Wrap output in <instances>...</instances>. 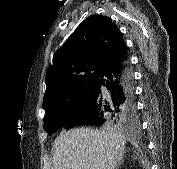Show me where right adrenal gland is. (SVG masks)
Returning a JSON list of instances; mask_svg holds the SVG:
<instances>
[{
  "mask_svg": "<svg viewBox=\"0 0 177 169\" xmlns=\"http://www.w3.org/2000/svg\"><path fill=\"white\" fill-rule=\"evenodd\" d=\"M123 154H124V152L121 154L122 159H123ZM122 162H123V161L120 160V161L117 163V165H116V169H118V168L121 166Z\"/></svg>",
  "mask_w": 177,
  "mask_h": 169,
  "instance_id": "2a0ac1e0",
  "label": "right adrenal gland"
}]
</instances>
